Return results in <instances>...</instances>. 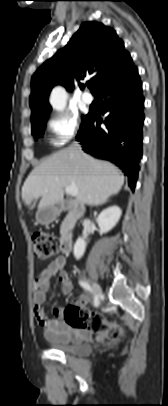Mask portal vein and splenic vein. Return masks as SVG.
<instances>
[{
  "label": "portal vein and splenic vein",
  "mask_w": 168,
  "mask_h": 406,
  "mask_svg": "<svg viewBox=\"0 0 168 406\" xmlns=\"http://www.w3.org/2000/svg\"><path fill=\"white\" fill-rule=\"evenodd\" d=\"M65 191L67 194H69L71 196H77V194H78V189L75 185L65 187Z\"/></svg>",
  "instance_id": "18ae733b"
}]
</instances>
